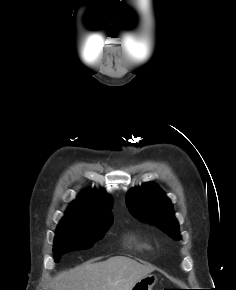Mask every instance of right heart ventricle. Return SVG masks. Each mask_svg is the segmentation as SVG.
I'll return each mask as SVG.
<instances>
[{
    "mask_svg": "<svg viewBox=\"0 0 236 290\" xmlns=\"http://www.w3.org/2000/svg\"><path fill=\"white\" fill-rule=\"evenodd\" d=\"M127 240L130 244L135 246L137 249L148 250L150 248L149 244L146 241L140 239L134 234H129L127 236Z\"/></svg>",
    "mask_w": 236,
    "mask_h": 290,
    "instance_id": "right-heart-ventricle-1",
    "label": "right heart ventricle"
}]
</instances>
